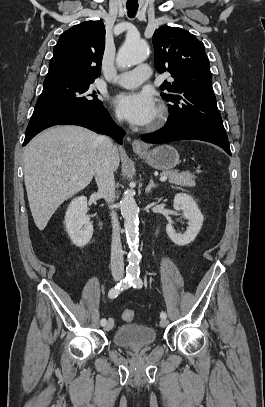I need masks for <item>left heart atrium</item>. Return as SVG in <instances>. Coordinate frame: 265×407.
Wrapping results in <instances>:
<instances>
[{
	"instance_id": "left-heart-atrium-1",
	"label": "left heart atrium",
	"mask_w": 265,
	"mask_h": 407,
	"mask_svg": "<svg viewBox=\"0 0 265 407\" xmlns=\"http://www.w3.org/2000/svg\"><path fill=\"white\" fill-rule=\"evenodd\" d=\"M114 104L130 123L138 126L152 122L157 113L155 99L148 91L121 93L115 97Z\"/></svg>"
}]
</instances>
